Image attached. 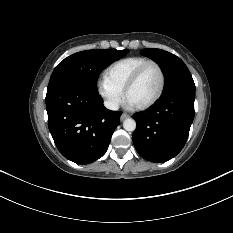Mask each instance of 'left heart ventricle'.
<instances>
[{
	"label": "left heart ventricle",
	"instance_id": "1",
	"mask_svg": "<svg viewBox=\"0 0 233 233\" xmlns=\"http://www.w3.org/2000/svg\"><path fill=\"white\" fill-rule=\"evenodd\" d=\"M160 87V74L158 69L151 65L146 68L136 84L128 93L127 100L134 106L142 105L151 100Z\"/></svg>",
	"mask_w": 233,
	"mask_h": 233
}]
</instances>
